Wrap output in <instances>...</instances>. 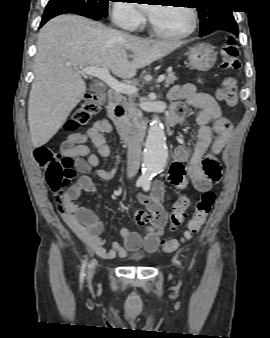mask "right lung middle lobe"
Instances as JSON below:
<instances>
[{
    "instance_id": "right-lung-middle-lobe-1",
    "label": "right lung middle lobe",
    "mask_w": 270,
    "mask_h": 338,
    "mask_svg": "<svg viewBox=\"0 0 270 338\" xmlns=\"http://www.w3.org/2000/svg\"><path fill=\"white\" fill-rule=\"evenodd\" d=\"M108 1L110 0H49L45 12L66 11L90 12L102 17L107 16Z\"/></svg>"
}]
</instances>
